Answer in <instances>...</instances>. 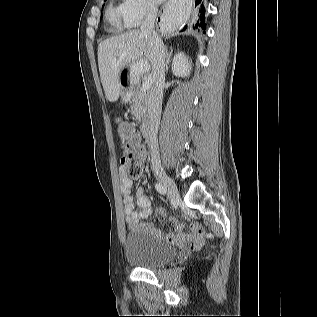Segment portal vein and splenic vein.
Segmentation results:
<instances>
[{
  "label": "portal vein and splenic vein",
  "mask_w": 317,
  "mask_h": 317,
  "mask_svg": "<svg viewBox=\"0 0 317 317\" xmlns=\"http://www.w3.org/2000/svg\"><path fill=\"white\" fill-rule=\"evenodd\" d=\"M145 66H146L145 63H143V62L138 64V67L140 70H143V68ZM151 84H152V77L148 76V78L142 84V90L143 91L148 90L150 88Z\"/></svg>",
  "instance_id": "portal-vein-and-splenic-vein-1"
}]
</instances>
